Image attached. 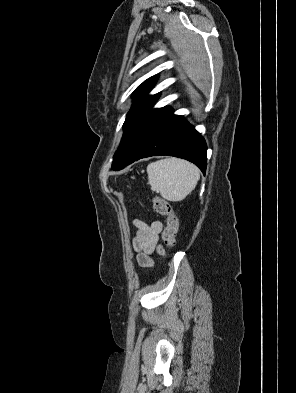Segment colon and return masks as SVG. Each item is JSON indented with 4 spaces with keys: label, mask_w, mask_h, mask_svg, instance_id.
<instances>
[{
    "label": "colon",
    "mask_w": 296,
    "mask_h": 393,
    "mask_svg": "<svg viewBox=\"0 0 296 393\" xmlns=\"http://www.w3.org/2000/svg\"><path fill=\"white\" fill-rule=\"evenodd\" d=\"M154 211L166 218V226L162 233V239L166 246L172 248L178 231V219L169 202L156 196L152 200Z\"/></svg>",
    "instance_id": "5ec220e1"
}]
</instances>
